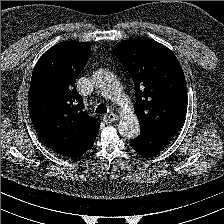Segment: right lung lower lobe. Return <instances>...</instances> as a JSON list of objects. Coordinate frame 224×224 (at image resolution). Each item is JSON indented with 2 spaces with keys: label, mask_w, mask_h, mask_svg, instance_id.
<instances>
[{
  "label": "right lung lower lobe",
  "mask_w": 224,
  "mask_h": 224,
  "mask_svg": "<svg viewBox=\"0 0 224 224\" xmlns=\"http://www.w3.org/2000/svg\"><path fill=\"white\" fill-rule=\"evenodd\" d=\"M95 141V140H94ZM94 141L88 146V148L87 149H85V150H82L78 155H77V157H79V156H81L83 153H85L88 149H90L92 146H93V144H94Z\"/></svg>",
  "instance_id": "right-lung-lower-lobe-1"
}]
</instances>
